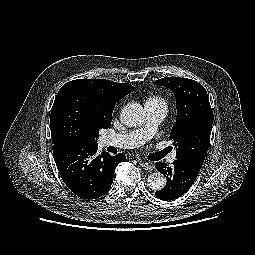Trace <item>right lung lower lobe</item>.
I'll return each mask as SVG.
<instances>
[{"instance_id": "1", "label": "right lung lower lobe", "mask_w": 255, "mask_h": 255, "mask_svg": "<svg viewBox=\"0 0 255 255\" xmlns=\"http://www.w3.org/2000/svg\"><path fill=\"white\" fill-rule=\"evenodd\" d=\"M98 146L53 145L54 159L66 186L78 197L96 199L113 182L116 166L126 160L124 154H97Z\"/></svg>"}]
</instances>
